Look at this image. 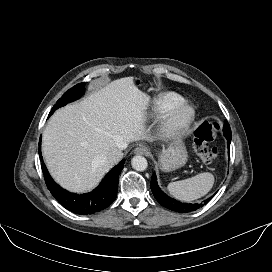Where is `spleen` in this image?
I'll use <instances>...</instances> for the list:
<instances>
[{
	"label": "spleen",
	"instance_id": "obj_1",
	"mask_svg": "<svg viewBox=\"0 0 272 272\" xmlns=\"http://www.w3.org/2000/svg\"><path fill=\"white\" fill-rule=\"evenodd\" d=\"M214 184V176L209 172L168 184L169 193L180 201L190 202L206 195Z\"/></svg>",
	"mask_w": 272,
	"mask_h": 272
}]
</instances>
